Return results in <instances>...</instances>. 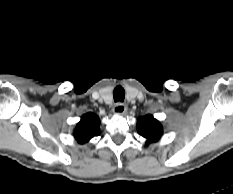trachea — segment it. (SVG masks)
I'll return each mask as SVG.
<instances>
[{"instance_id":"1","label":"trachea","mask_w":233,"mask_h":194,"mask_svg":"<svg viewBox=\"0 0 233 194\" xmlns=\"http://www.w3.org/2000/svg\"><path fill=\"white\" fill-rule=\"evenodd\" d=\"M113 98L115 102H123L125 98V90L122 86L118 85L113 91Z\"/></svg>"}]
</instances>
